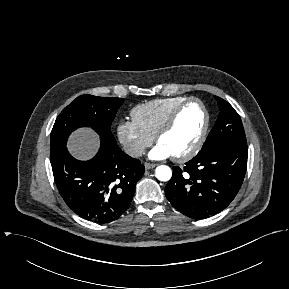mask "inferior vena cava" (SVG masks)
Instances as JSON below:
<instances>
[{"label": "inferior vena cava", "mask_w": 289, "mask_h": 289, "mask_svg": "<svg viewBox=\"0 0 289 289\" xmlns=\"http://www.w3.org/2000/svg\"><path fill=\"white\" fill-rule=\"evenodd\" d=\"M125 152H126L129 156H131V157H133V158H137V157H140V156L143 155L144 150H143V148H141V147L130 146V147H127V148L125 149Z\"/></svg>", "instance_id": "inferior-vena-cava-1"}]
</instances>
